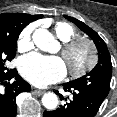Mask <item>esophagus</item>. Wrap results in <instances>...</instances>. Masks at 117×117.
I'll use <instances>...</instances> for the list:
<instances>
[{
  "label": "esophagus",
  "mask_w": 117,
  "mask_h": 117,
  "mask_svg": "<svg viewBox=\"0 0 117 117\" xmlns=\"http://www.w3.org/2000/svg\"><path fill=\"white\" fill-rule=\"evenodd\" d=\"M32 90H33V92H34L35 94H37V95H42V94L45 93L44 90H39V89H36V88H33Z\"/></svg>",
  "instance_id": "1"
}]
</instances>
